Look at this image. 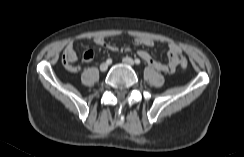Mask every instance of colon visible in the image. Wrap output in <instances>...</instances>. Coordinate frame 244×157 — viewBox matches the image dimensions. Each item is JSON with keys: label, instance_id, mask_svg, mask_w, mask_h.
Wrapping results in <instances>:
<instances>
[{"label": "colon", "instance_id": "obj_1", "mask_svg": "<svg viewBox=\"0 0 244 157\" xmlns=\"http://www.w3.org/2000/svg\"><path fill=\"white\" fill-rule=\"evenodd\" d=\"M62 63L64 67L71 72L79 70V65L76 63V54L73 52H64L62 55ZM180 65L182 68H186L188 66V61L182 57Z\"/></svg>", "mask_w": 244, "mask_h": 157}]
</instances>
